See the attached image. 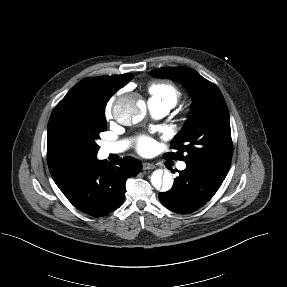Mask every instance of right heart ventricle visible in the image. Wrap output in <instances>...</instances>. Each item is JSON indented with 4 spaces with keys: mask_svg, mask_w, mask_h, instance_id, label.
<instances>
[{
    "mask_svg": "<svg viewBox=\"0 0 287 287\" xmlns=\"http://www.w3.org/2000/svg\"><path fill=\"white\" fill-rule=\"evenodd\" d=\"M148 91L150 94V100L166 104L171 108L177 104L181 96L179 88L174 83L167 81H156L150 83Z\"/></svg>",
    "mask_w": 287,
    "mask_h": 287,
    "instance_id": "obj_1",
    "label": "right heart ventricle"
}]
</instances>
